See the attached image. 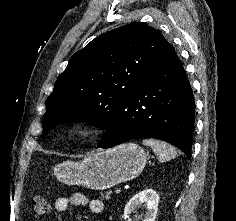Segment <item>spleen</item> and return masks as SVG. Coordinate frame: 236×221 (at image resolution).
Returning <instances> with one entry per match:
<instances>
[{"label": "spleen", "mask_w": 236, "mask_h": 221, "mask_svg": "<svg viewBox=\"0 0 236 221\" xmlns=\"http://www.w3.org/2000/svg\"><path fill=\"white\" fill-rule=\"evenodd\" d=\"M143 144L153 149L160 162L169 161L177 156L176 149L164 141L150 138L144 139Z\"/></svg>", "instance_id": "3e777b00"}]
</instances>
